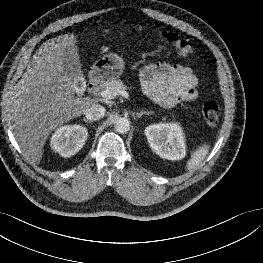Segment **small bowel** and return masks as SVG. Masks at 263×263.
<instances>
[{"instance_id":"1","label":"small bowel","mask_w":263,"mask_h":263,"mask_svg":"<svg viewBox=\"0 0 263 263\" xmlns=\"http://www.w3.org/2000/svg\"><path fill=\"white\" fill-rule=\"evenodd\" d=\"M143 92L155 103L173 107L197 98V77L183 65L165 61L145 65L140 72Z\"/></svg>"}]
</instances>
